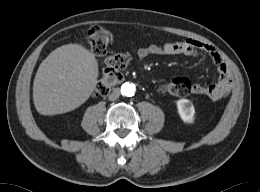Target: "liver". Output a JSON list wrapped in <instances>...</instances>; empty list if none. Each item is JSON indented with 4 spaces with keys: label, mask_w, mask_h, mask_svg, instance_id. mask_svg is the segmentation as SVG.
<instances>
[{
    "label": "liver",
    "mask_w": 260,
    "mask_h": 192,
    "mask_svg": "<svg viewBox=\"0 0 260 192\" xmlns=\"http://www.w3.org/2000/svg\"><path fill=\"white\" fill-rule=\"evenodd\" d=\"M99 75L95 55L81 44L52 51L40 64L33 83V101L42 115H56L81 106L93 93Z\"/></svg>",
    "instance_id": "obj_1"
}]
</instances>
